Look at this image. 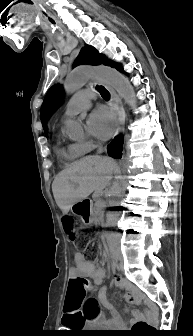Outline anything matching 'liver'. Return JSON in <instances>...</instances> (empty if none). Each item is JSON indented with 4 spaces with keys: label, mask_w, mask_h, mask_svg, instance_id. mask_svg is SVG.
Returning a JSON list of instances; mask_svg holds the SVG:
<instances>
[{
    "label": "liver",
    "mask_w": 193,
    "mask_h": 336,
    "mask_svg": "<svg viewBox=\"0 0 193 336\" xmlns=\"http://www.w3.org/2000/svg\"><path fill=\"white\" fill-rule=\"evenodd\" d=\"M115 162L109 157L87 156L61 171L54 179L52 192L63 214L92 192L102 194L111 179Z\"/></svg>",
    "instance_id": "1"
}]
</instances>
